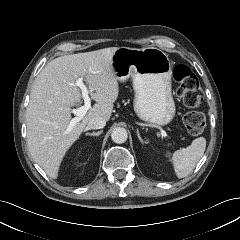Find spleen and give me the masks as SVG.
Returning <instances> with one entry per match:
<instances>
[{"label":"spleen","mask_w":240,"mask_h":240,"mask_svg":"<svg viewBox=\"0 0 240 240\" xmlns=\"http://www.w3.org/2000/svg\"><path fill=\"white\" fill-rule=\"evenodd\" d=\"M205 149L206 139L204 137H199L193 140L188 147L173 153L172 162L178 178H184L193 171L202 158Z\"/></svg>","instance_id":"1"}]
</instances>
